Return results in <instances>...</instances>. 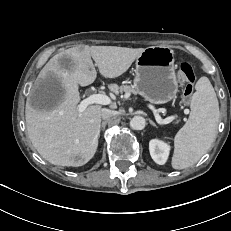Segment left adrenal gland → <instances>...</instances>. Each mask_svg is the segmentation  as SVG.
Masks as SVG:
<instances>
[{"label":"left adrenal gland","mask_w":231,"mask_h":231,"mask_svg":"<svg viewBox=\"0 0 231 231\" xmlns=\"http://www.w3.org/2000/svg\"><path fill=\"white\" fill-rule=\"evenodd\" d=\"M149 123H150L151 125H153V126L156 127V124H155L152 120H150V119H149Z\"/></svg>","instance_id":"left-adrenal-gland-1"}]
</instances>
